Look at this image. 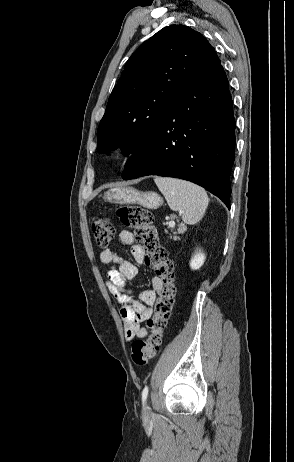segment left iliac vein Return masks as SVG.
Returning <instances> with one entry per match:
<instances>
[{"instance_id":"4c4485c4","label":"left iliac vein","mask_w":294,"mask_h":462,"mask_svg":"<svg viewBox=\"0 0 294 462\" xmlns=\"http://www.w3.org/2000/svg\"><path fill=\"white\" fill-rule=\"evenodd\" d=\"M148 411H149V410L146 408V409H145V412L147 413Z\"/></svg>"}]
</instances>
